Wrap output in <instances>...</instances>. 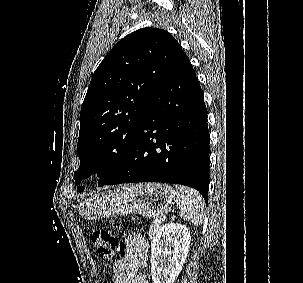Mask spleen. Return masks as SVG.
Segmentation results:
<instances>
[{"mask_svg": "<svg viewBox=\"0 0 303 283\" xmlns=\"http://www.w3.org/2000/svg\"><path fill=\"white\" fill-rule=\"evenodd\" d=\"M176 206L180 209V217L194 226H200L204 220L205 203L196 190L181 185H175Z\"/></svg>", "mask_w": 303, "mask_h": 283, "instance_id": "3e777b00", "label": "spleen"}]
</instances>
